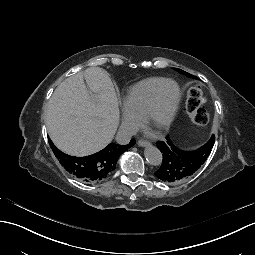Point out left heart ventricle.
<instances>
[{
	"label": "left heart ventricle",
	"mask_w": 255,
	"mask_h": 255,
	"mask_svg": "<svg viewBox=\"0 0 255 255\" xmlns=\"http://www.w3.org/2000/svg\"><path fill=\"white\" fill-rule=\"evenodd\" d=\"M174 96L175 87L171 84L165 85L159 101L157 118L150 120L146 125V129L148 132L155 133L158 131L159 118H161L168 112L173 103Z\"/></svg>",
	"instance_id": "b2bd125f"
}]
</instances>
